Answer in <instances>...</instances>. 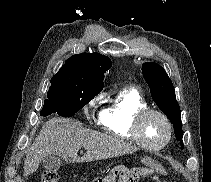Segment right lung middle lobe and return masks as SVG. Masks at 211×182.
Returning <instances> with one entry per match:
<instances>
[{
  "mask_svg": "<svg viewBox=\"0 0 211 182\" xmlns=\"http://www.w3.org/2000/svg\"><path fill=\"white\" fill-rule=\"evenodd\" d=\"M101 91L102 88L97 86L54 75L40 115L57 113L62 117H71Z\"/></svg>",
  "mask_w": 211,
  "mask_h": 182,
  "instance_id": "right-lung-middle-lobe-1",
  "label": "right lung middle lobe"
}]
</instances>
